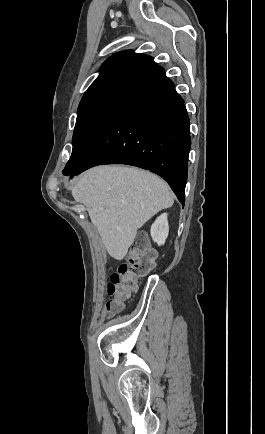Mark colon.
I'll return each mask as SVG.
<instances>
[{"label":"colon","instance_id":"1","mask_svg":"<svg viewBox=\"0 0 265 434\" xmlns=\"http://www.w3.org/2000/svg\"><path fill=\"white\" fill-rule=\"evenodd\" d=\"M156 262V252L146 244L145 236L136 235L125 262L119 265L108 284V291L112 296L107 304L110 314L121 310L124 301L137 290L139 280L151 273Z\"/></svg>","mask_w":265,"mask_h":434}]
</instances>
